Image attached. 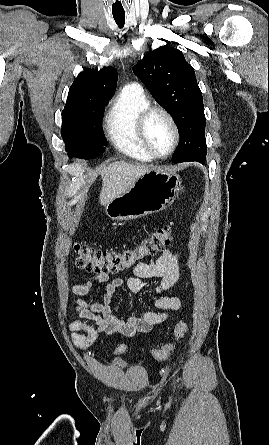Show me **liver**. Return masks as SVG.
Instances as JSON below:
<instances>
[{"instance_id": "6515ba94", "label": "liver", "mask_w": 269, "mask_h": 445, "mask_svg": "<svg viewBox=\"0 0 269 445\" xmlns=\"http://www.w3.org/2000/svg\"><path fill=\"white\" fill-rule=\"evenodd\" d=\"M151 166L130 164L124 161L114 162L101 170L102 188L99 196L101 205L106 206L117 196L130 189L135 181L148 172Z\"/></svg>"}]
</instances>
